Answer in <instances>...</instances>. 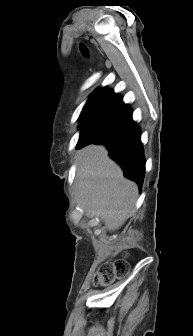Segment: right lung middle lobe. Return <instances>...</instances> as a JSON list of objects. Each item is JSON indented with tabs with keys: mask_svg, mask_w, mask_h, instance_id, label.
<instances>
[{
	"mask_svg": "<svg viewBox=\"0 0 193 336\" xmlns=\"http://www.w3.org/2000/svg\"><path fill=\"white\" fill-rule=\"evenodd\" d=\"M113 110L114 109L106 110L97 119L93 121H85L79 123L81 129L80 138L91 140L94 139L97 135H99L103 131Z\"/></svg>",
	"mask_w": 193,
	"mask_h": 336,
	"instance_id": "right-lung-middle-lobe-1",
	"label": "right lung middle lobe"
}]
</instances>
